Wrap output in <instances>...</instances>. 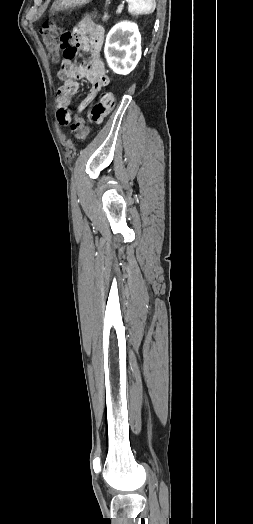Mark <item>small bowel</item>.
I'll return each instance as SVG.
<instances>
[{"label":"small bowel","instance_id":"1","mask_svg":"<svg viewBox=\"0 0 253 524\" xmlns=\"http://www.w3.org/2000/svg\"><path fill=\"white\" fill-rule=\"evenodd\" d=\"M103 39L104 28L91 16L82 17L74 29H64L58 38V49L62 52L59 76L63 84L58 90L57 103L61 108L68 107L78 90L79 81H88L91 88L81 108L92 103L91 118L99 125L104 123V118L111 116V110L117 103L113 90L106 87L109 79L102 59ZM79 49L90 54V60L82 65L74 64L79 60Z\"/></svg>","mask_w":253,"mask_h":524}]
</instances>
